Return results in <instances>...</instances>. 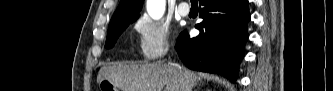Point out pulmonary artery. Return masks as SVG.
I'll return each mask as SVG.
<instances>
[{
  "instance_id": "obj_1",
  "label": "pulmonary artery",
  "mask_w": 333,
  "mask_h": 91,
  "mask_svg": "<svg viewBox=\"0 0 333 91\" xmlns=\"http://www.w3.org/2000/svg\"><path fill=\"white\" fill-rule=\"evenodd\" d=\"M178 12L181 16H187L190 12V7L186 2H181L178 6Z\"/></svg>"
}]
</instances>
